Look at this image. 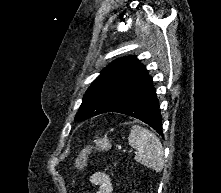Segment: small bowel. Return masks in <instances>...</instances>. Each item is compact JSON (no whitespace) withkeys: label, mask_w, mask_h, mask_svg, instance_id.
<instances>
[{"label":"small bowel","mask_w":221,"mask_h":193,"mask_svg":"<svg viewBox=\"0 0 221 193\" xmlns=\"http://www.w3.org/2000/svg\"><path fill=\"white\" fill-rule=\"evenodd\" d=\"M89 182L98 187L96 193H112V182L108 174L96 172L89 178Z\"/></svg>","instance_id":"1"}]
</instances>
